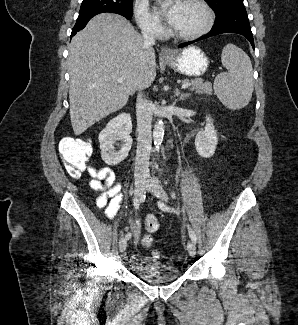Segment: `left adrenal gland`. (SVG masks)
I'll return each instance as SVG.
<instances>
[{
  "instance_id": "a2214340",
  "label": "left adrenal gland",
  "mask_w": 298,
  "mask_h": 325,
  "mask_svg": "<svg viewBox=\"0 0 298 325\" xmlns=\"http://www.w3.org/2000/svg\"><path fill=\"white\" fill-rule=\"evenodd\" d=\"M175 96V100H186L189 98L190 92H180L179 88H176Z\"/></svg>"
}]
</instances>
